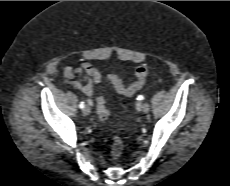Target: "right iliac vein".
I'll list each match as a JSON object with an SVG mask.
<instances>
[{"label":"right iliac vein","mask_w":230,"mask_h":186,"mask_svg":"<svg viewBox=\"0 0 230 186\" xmlns=\"http://www.w3.org/2000/svg\"><path fill=\"white\" fill-rule=\"evenodd\" d=\"M90 112H91V109L88 105L83 108V114L84 115H89Z\"/></svg>","instance_id":"right-iliac-vein-1"}]
</instances>
